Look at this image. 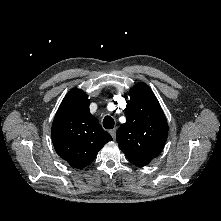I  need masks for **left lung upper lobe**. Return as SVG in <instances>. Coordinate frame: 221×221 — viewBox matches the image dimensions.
<instances>
[{
    "mask_svg": "<svg viewBox=\"0 0 221 221\" xmlns=\"http://www.w3.org/2000/svg\"><path fill=\"white\" fill-rule=\"evenodd\" d=\"M126 123L117 131L121 151L136 166H145L162 151L168 125L164 112L151 88L145 83L134 86L125 108Z\"/></svg>",
    "mask_w": 221,
    "mask_h": 221,
    "instance_id": "left-lung-upper-lobe-1",
    "label": "left lung upper lobe"
}]
</instances>
